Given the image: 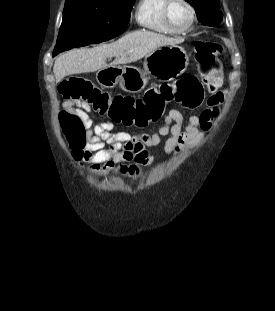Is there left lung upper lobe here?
Instances as JSON below:
<instances>
[{
	"mask_svg": "<svg viewBox=\"0 0 275 311\" xmlns=\"http://www.w3.org/2000/svg\"><path fill=\"white\" fill-rule=\"evenodd\" d=\"M196 10L197 18L203 25L217 26L223 17L219 0H186Z\"/></svg>",
	"mask_w": 275,
	"mask_h": 311,
	"instance_id": "5c2ea615",
	"label": "left lung upper lobe"
}]
</instances>
